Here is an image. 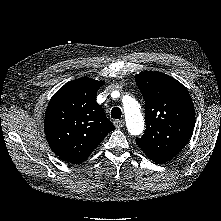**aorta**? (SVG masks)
Returning <instances> with one entry per match:
<instances>
[{"label":"aorta","instance_id":"aorta-1","mask_svg":"<svg viewBox=\"0 0 221 221\" xmlns=\"http://www.w3.org/2000/svg\"><path fill=\"white\" fill-rule=\"evenodd\" d=\"M126 126L131 135H140L144 129V119L139 103L130 96L123 98Z\"/></svg>","mask_w":221,"mask_h":221}]
</instances>
